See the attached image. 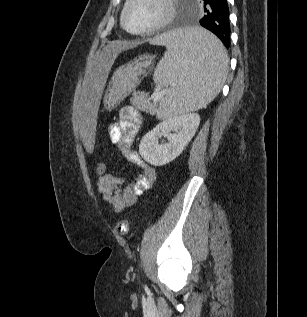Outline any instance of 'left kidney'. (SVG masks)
Instances as JSON below:
<instances>
[{
	"mask_svg": "<svg viewBox=\"0 0 307 317\" xmlns=\"http://www.w3.org/2000/svg\"><path fill=\"white\" fill-rule=\"evenodd\" d=\"M200 124L197 113L170 117L146 133L139 145L141 157L151 165L162 166L174 160L190 142ZM174 133H171V132ZM162 136L167 143H158Z\"/></svg>",
	"mask_w": 307,
	"mask_h": 317,
	"instance_id": "1",
	"label": "left kidney"
}]
</instances>
